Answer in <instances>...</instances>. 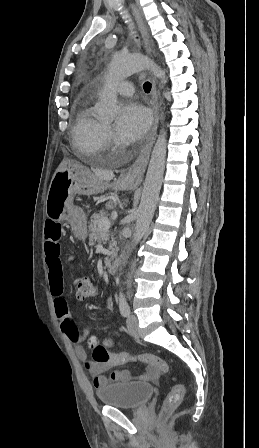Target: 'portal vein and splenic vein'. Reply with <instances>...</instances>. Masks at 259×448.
<instances>
[{
    "label": "portal vein and splenic vein",
    "instance_id": "portal-vein-and-splenic-vein-1",
    "mask_svg": "<svg viewBox=\"0 0 259 448\" xmlns=\"http://www.w3.org/2000/svg\"><path fill=\"white\" fill-rule=\"evenodd\" d=\"M113 218H117V216H113ZM99 230H109L110 228V220L108 218H101L98 224Z\"/></svg>",
    "mask_w": 259,
    "mask_h": 448
}]
</instances>
